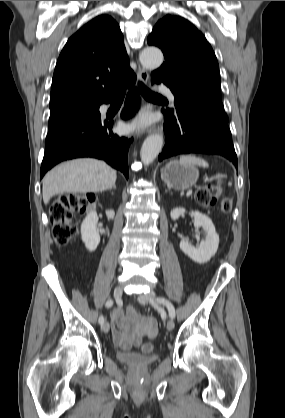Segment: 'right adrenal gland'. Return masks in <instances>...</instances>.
Segmentation results:
<instances>
[{
    "mask_svg": "<svg viewBox=\"0 0 285 418\" xmlns=\"http://www.w3.org/2000/svg\"><path fill=\"white\" fill-rule=\"evenodd\" d=\"M113 189H116V185L113 186Z\"/></svg>",
    "mask_w": 285,
    "mask_h": 418,
    "instance_id": "obj_1",
    "label": "right adrenal gland"
}]
</instances>
